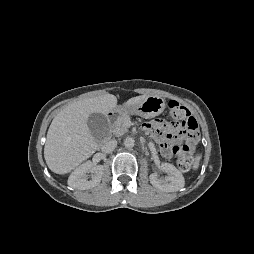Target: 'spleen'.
<instances>
[{"instance_id":"spleen-1","label":"spleen","mask_w":254,"mask_h":254,"mask_svg":"<svg viewBox=\"0 0 254 254\" xmlns=\"http://www.w3.org/2000/svg\"><path fill=\"white\" fill-rule=\"evenodd\" d=\"M201 159V155L198 154L194 159H193V170H197L199 167V162Z\"/></svg>"}]
</instances>
